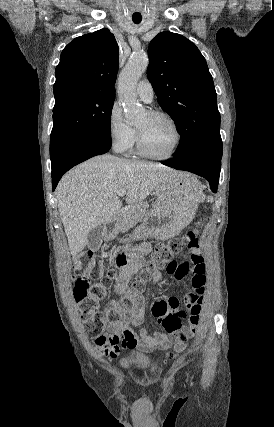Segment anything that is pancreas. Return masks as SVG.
<instances>
[{"label":"pancreas","instance_id":"pancreas-1","mask_svg":"<svg viewBox=\"0 0 274 427\" xmlns=\"http://www.w3.org/2000/svg\"><path fill=\"white\" fill-rule=\"evenodd\" d=\"M147 208H149L147 202H140V204H133L129 208L122 210L116 221L115 231H128L129 227L141 221L143 215H146Z\"/></svg>","mask_w":274,"mask_h":427}]
</instances>
